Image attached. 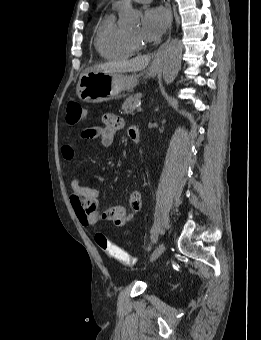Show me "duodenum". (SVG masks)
I'll return each mask as SVG.
<instances>
[{
	"mask_svg": "<svg viewBox=\"0 0 261 340\" xmlns=\"http://www.w3.org/2000/svg\"><path fill=\"white\" fill-rule=\"evenodd\" d=\"M133 140L134 141H138L139 140V135L135 134V132H133Z\"/></svg>",
	"mask_w": 261,
	"mask_h": 340,
	"instance_id": "duodenum-1",
	"label": "duodenum"
}]
</instances>
